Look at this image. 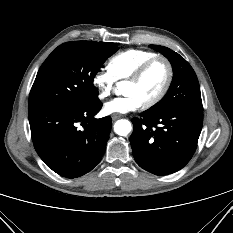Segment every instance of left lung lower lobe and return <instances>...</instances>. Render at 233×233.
I'll return each instance as SVG.
<instances>
[{"instance_id": "0a47b994", "label": "left lung lower lobe", "mask_w": 233, "mask_h": 233, "mask_svg": "<svg viewBox=\"0 0 233 233\" xmlns=\"http://www.w3.org/2000/svg\"><path fill=\"white\" fill-rule=\"evenodd\" d=\"M130 143L137 164L155 175L182 169L192 158L203 124V108L176 107L133 118Z\"/></svg>"}]
</instances>
